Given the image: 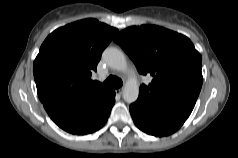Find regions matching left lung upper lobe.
<instances>
[{
    "label": "left lung upper lobe",
    "mask_w": 238,
    "mask_h": 158,
    "mask_svg": "<svg viewBox=\"0 0 238 158\" xmlns=\"http://www.w3.org/2000/svg\"><path fill=\"white\" fill-rule=\"evenodd\" d=\"M114 41L139 73L152 77L149 86H141L139 97L152 102L198 97L202 57L189 38L159 26L142 25L123 30Z\"/></svg>",
    "instance_id": "left-lung-upper-lobe-1"
}]
</instances>
